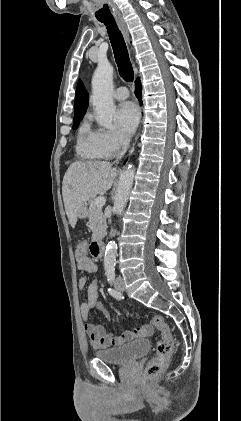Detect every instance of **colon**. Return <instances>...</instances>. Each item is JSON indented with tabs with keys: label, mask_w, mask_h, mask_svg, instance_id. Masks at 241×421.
I'll return each instance as SVG.
<instances>
[{
	"label": "colon",
	"mask_w": 241,
	"mask_h": 421,
	"mask_svg": "<svg viewBox=\"0 0 241 421\" xmlns=\"http://www.w3.org/2000/svg\"><path fill=\"white\" fill-rule=\"evenodd\" d=\"M77 253L80 255L92 254V244L87 240H80L77 243ZM151 324L160 332L161 339L156 346L154 357L146 365V377L151 379L161 374L166 368L173 352L174 342L170 327L164 318L160 315H154Z\"/></svg>",
	"instance_id": "obj_1"
}]
</instances>
